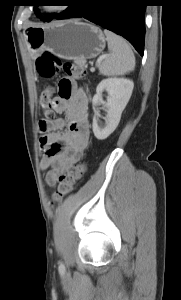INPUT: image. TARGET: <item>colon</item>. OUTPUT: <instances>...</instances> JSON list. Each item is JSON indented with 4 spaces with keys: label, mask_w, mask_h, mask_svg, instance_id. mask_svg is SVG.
I'll return each instance as SVG.
<instances>
[{
    "label": "colon",
    "mask_w": 181,
    "mask_h": 300,
    "mask_svg": "<svg viewBox=\"0 0 181 300\" xmlns=\"http://www.w3.org/2000/svg\"><path fill=\"white\" fill-rule=\"evenodd\" d=\"M36 69L42 78L50 79L57 75L62 70L68 77L81 79L85 76L86 70L72 62H62L57 56L52 53H43L36 61ZM53 92L54 89L48 86L40 95L39 104L42 111L45 113L46 120L54 119L53 111ZM48 126L47 121L39 122V129L44 132ZM86 171L84 162L74 164L67 170L60 173L57 177V188L53 194L55 202L61 201L71 193L75 184L83 177Z\"/></svg>",
    "instance_id": "1"
}]
</instances>
